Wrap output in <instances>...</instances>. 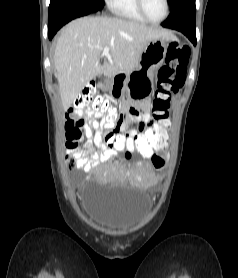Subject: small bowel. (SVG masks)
Listing matches in <instances>:
<instances>
[{
  "label": "small bowel",
  "instance_id": "small-bowel-1",
  "mask_svg": "<svg viewBox=\"0 0 238 278\" xmlns=\"http://www.w3.org/2000/svg\"><path fill=\"white\" fill-rule=\"evenodd\" d=\"M89 116L91 117L90 121L84 123L82 127L85 136L84 147H78V142L81 138L74 140V142H77V146L68 148L70 154L76 159L77 168L84 172H90L99 165L110 162L118 154H125L109 153L108 156L104 155L103 149L101 148L102 139L100 137V130L108 117L101 113H95ZM70 119H74V115L71 111H68L65 114V123ZM132 124H136V127H132ZM150 124H155V121L149 112V105L146 102L126 104L122 119L118 125L119 134L117 137H146V132L151 130L149 128ZM163 136L166 138V134ZM149 180H151L150 177Z\"/></svg>",
  "mask_w": 238,
  "mask_h": 278
}]
</instances>
